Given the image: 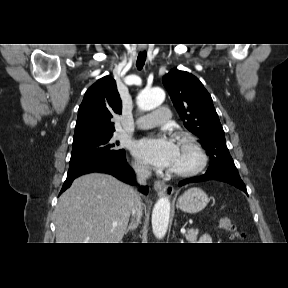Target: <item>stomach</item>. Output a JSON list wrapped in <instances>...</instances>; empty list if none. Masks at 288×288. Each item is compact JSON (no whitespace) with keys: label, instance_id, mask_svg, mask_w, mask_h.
<instances>
[{"label":"stomach","instance_id":"obj_1","mask_svg":"<svg viewBox=\"0 0 288 288\" xmlns=\"http://www.w3.org/2000/svg\"><path fill=\"white\" fill-rule=\"evenodd\" d=\"M208 201V196L202 189L193 187L178 198L177 206L182 211L193 214L203 210Z\"/></svg>","mask_w":288,"mask_h":288}]
</instances>
